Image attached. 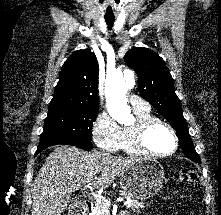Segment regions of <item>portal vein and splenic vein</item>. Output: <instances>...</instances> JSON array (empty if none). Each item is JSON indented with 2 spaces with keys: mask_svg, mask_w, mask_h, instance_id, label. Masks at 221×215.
<instances>
[{
  "mask_svg": "<svg viewBox=\"0 0 221 215\" xmlns=\"http://www.w3.org/2000/svg\"><path fill=\"white\" fill-rule=\"evenodd\" d=\"M84 187H88V185H85ZM91 195L95 198V200L100 203V202H105L106 205L110 206V202L105 199V197L95 193V192H91ZM124 201V199L122 197H119L116 199V202H122Z\"/></svg>",
  "mask_w": 221,
  "mask_h": 215,
  "instance_id": "18ae733b",
  "label": "portal vein and splenic vein"
}]
</instances>
